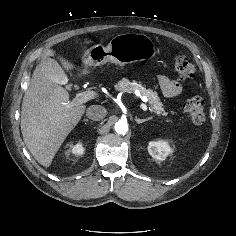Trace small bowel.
Here are the masks:
<instances>
[{
    "label": "small bowel",
    "mask_w": 236,
    "mask_h": 236,
    "mask_svg": "<svg viewBox=\"0 0 236 236\" xmlns=\"http://www.w3.org/2000/svg\"><path fill=\"white\" fill-rule=\"evenodd\" d=\"M157 80L165 97H175L181 93L182 88L178 82L171 80L164 75L158 76Z\"/></svg>",
    "instance_id": "small-bowel-1"
}]
</instances>
